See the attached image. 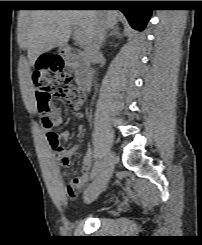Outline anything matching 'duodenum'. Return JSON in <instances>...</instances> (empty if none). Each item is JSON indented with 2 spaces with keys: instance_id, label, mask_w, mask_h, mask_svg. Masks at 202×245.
<instances>
[{
  "instance_id": "obj_1",
  "label": "duodenum",
  "mask_w": 202,
  "mask_h": 245,
  "mask_svg": "<svg viewBox=\"0 0 202 245\" xmlns=\"http://www.w3.org/2000/svg\"><path fill=\"white\" fill-rule=\"evenodd\" d=\"M60 53L71 60L76 71V84L80 91L89 92L92 87L90 74V64L80 52H75L70 46L64 45L60 48Z\"/></svg>"
}]
</instances>
